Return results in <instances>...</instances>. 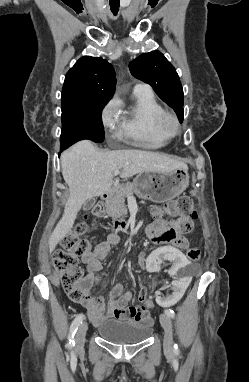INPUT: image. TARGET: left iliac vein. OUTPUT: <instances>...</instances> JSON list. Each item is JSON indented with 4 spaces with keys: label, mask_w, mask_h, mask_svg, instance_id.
Here are the masks:
<instances>
[{
    "label": "left iliac vein",
    "mask_w": 249,
    "mask_h": 382,
    "mask_svg": "<svg viewBox=\"0 0 249 382\" xmlns=\"http://www.w3.org/2000/svg\"><path fill=\"white\" fill-rule=\"evenodd\" d=\"M160 322L164 328V349L166 352H170L173 347V334H172V322L169 316L166 314L160 315Z\"/></svg>",
    "instance_id": "1"
}]
</instances>
